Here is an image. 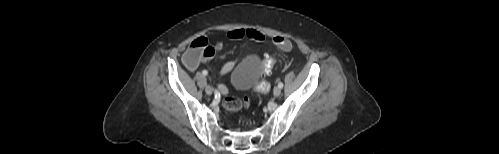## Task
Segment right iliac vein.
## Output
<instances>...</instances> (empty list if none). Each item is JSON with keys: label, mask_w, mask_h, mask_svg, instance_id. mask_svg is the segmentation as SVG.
Instances as JSON below:
<instances>
[{"label": "right iliac vein", "mask_w": 499, "mask_h": 154, "mask_svg": "<svg viewBox=\"0 0 499 154\" xmlns=\"http://www.w3.org/2000/svg\"><path fill=\"white\" fill-rule=\"evenodd\" d=\"M205 91L208 95H211L213 93V89L210 85L206 86Z\"/></svg>", "instance_id": "63e3f726"}]
</instances>
